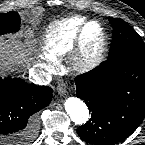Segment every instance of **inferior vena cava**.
Returning <instances> with one entry per match:
<instances>
[{
	"instance_id": "602c4592",
	"label": "inferior vena cava",
	"mask_w": 145,
	"mask_h": 145,
	"mask_svg": "<svg viewBox=\"0 0 145 145\" xmlns=\"http://www.w3.org/2000/svg\"><path fill=\"white\" fill-rule=\"evenodd\" d=\"M31 81L39 85H45L47 83V78L44 74L38 73L31 76Z\"/></svg>"
}]
</instances>
